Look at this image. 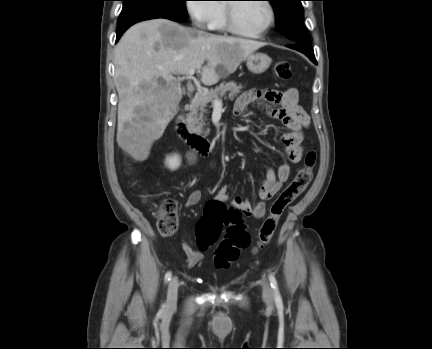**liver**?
I'll return each instance as SVG.
<instances>
[{
  "label": "liver",
  "instance_id": "liver-1",
  "mask_svg": "<svg viewBox=\"0 0 432 349\" xmlns=\"http://www.w3.org/2000/svg\"><path fill=\"white\" fill-rule=\"evenodd\" d=\"M265 45L184 27L167 19L132 26L115 47L119 147L137 161L147 159L152 144L177 114L182 98L180 83L173 74L197 70L204 85H214L220 79L218 66L225 75L233 73ZM160 77L164 84L158 82Z\"/></svg>",
  "mask_w": 432,
  "mask_h": 349
}]
</instances>
